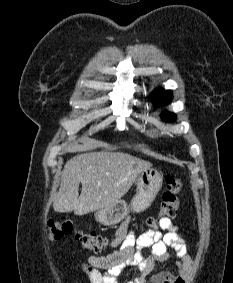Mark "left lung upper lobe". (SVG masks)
<instances>
[{
	"instance_id": "left-lung-upper-lobe-1",
	"label": "left lung upper lobe",
	"mask_w": 233,
	"mask_h": 283,
	"mask_svg": "<svg viewBox=\"0 0 233 283\" xmlns=\"http://www.w3.org/2000/svg\"><path fill=\"white\" fill-rule=\"evenodd\" d=\"M171 96H172V91L157 89L153 92L151 100L155 104L161 105L167 103L171 99ZM162 119L166 122H172L175 120V115L173 113L166 112L162 114Z\"/></svg>"
}]
</instances>
